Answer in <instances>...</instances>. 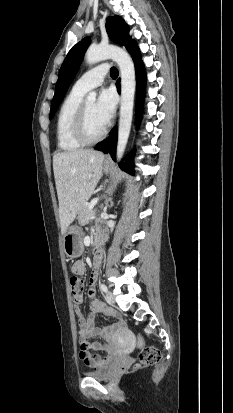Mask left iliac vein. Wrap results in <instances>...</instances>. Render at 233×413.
<instances>
[{"instance_id": "obj_1", "label": "left iliac vein", "mask_w": 233, "mask_h": 413, "mask_svg": "<svg viewBox=\"0 0 233 413\" xmlns=\"http://www.w3.org/2000/svg\"><path fill=\"white\" fill-rule=\"evenodd\" d=\"M106 299L109 303H114L115 302V297L111 292L106 293Z\"/></svg>"}]
</instances>
